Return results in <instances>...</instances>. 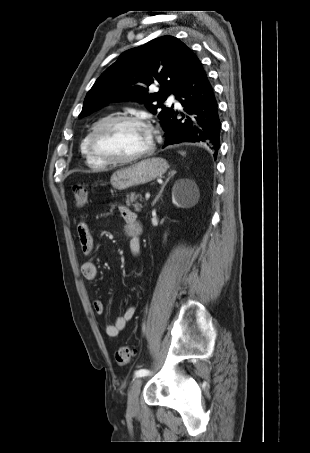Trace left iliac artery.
<instances>
[{
	"label": "left iliac artery",
	"instance_id": "left-iliac-artery-1",
	"mask_svg": "<svg viewBox=\"0 0 310 453\" xmlns=\"http://www.w3.org/2000/svg\"><path fill=\"white\" fill-rule=\"evenodd\" d=\"M148 374H149V371L147 369H140L135 372L136 377L147 376Z\"/></svg>",
	"mask_w": 310,
	"mask_h": 453
}]
</instances>
